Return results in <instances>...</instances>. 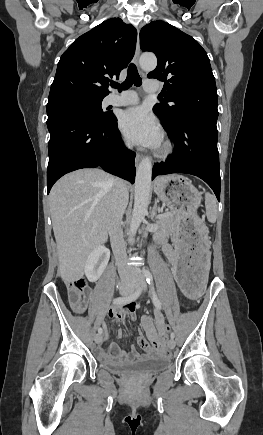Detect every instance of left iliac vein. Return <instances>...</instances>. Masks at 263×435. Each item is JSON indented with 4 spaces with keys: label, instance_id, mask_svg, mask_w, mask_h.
<instances>
[{
    "label": "left iliac vein",
    "instance_id": "4c4485c4",
    "mask_svg": "<svg viewBox=\"0 0 263 435\" xmlns=\"http://www.w3.org/2000/svg\"><path fill=\"white\" fill-rule=\"evenodd\" d=\"M136 289H141V290L146 289V282H145L143 275H141V274L138 275V285L136 286ZM175 345H176V343H175L174 339H170L168 341V347L170 349H174Z\"/></svg>",
    "mask_w": 263,
    "mask_h": 435
}]
</instances>
